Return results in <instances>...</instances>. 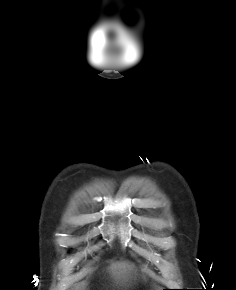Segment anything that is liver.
I'll return each instance as SVG.
<instances>
[{"mask_svg": "<svg viewBox=\"0 0 236 290\" xmlns=\"http://www.w3.org/2000/svg\"><path fill=\"white\" fill-rule=\"evenodd\" d=\"M110 273L116 281L126 282L133 272V266L126 263L116 262L110 268Z\"/></svg>", "mask_w": 236, "mask_h": 290, "instance_id": "liver-1", "label": "liver"}]
</instances>
